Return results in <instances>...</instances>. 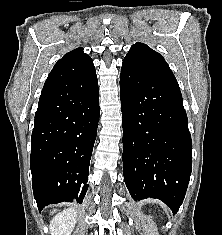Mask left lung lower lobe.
Segmentation results:
<instances>
[{
  "instance_id": "obj_1",
  "label": "left lung lower lobe",
  "mask_w": 222,
  "mask_h": 235,
  "mask_svg": "<svg viewBox=\"0 0 222 235\" xmlns=\"http://www.w3.org/2000/svg\"><path fill=\"white\" fill-rule=\"evenodd\" d=\"M120 99L125 184L134 200L157 198L175 214L192 166V141L179 85L123 61Z\"/></svg>"
}]
</instances>
